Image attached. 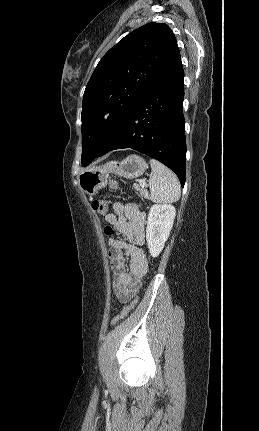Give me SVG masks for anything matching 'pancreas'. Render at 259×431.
<instances>
[{
    "mask_svg": "<svg viewBox=\"0 0 259 431\" xmlns=\"http://www.w3.org/2000/svg\"><path fill=\"white\" fill-rule=\"evenodd\" d=\"M133 188L140 192L141 197H144L145 199H150V194L148 193L145 186L141 184H134Z\"/></svg>",
    "mask_w": 259,
    "mask_h": 431,
    "instance_id": "pancreas-1",
    "label": "pancreas"
}]
</instances>
